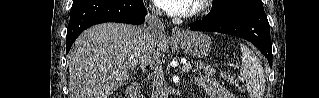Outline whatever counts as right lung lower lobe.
<instances>
[{
	"instance_id": "right-lung-lower-lobe-1",
	"label": "right lung lower lobe",
	"mask_w": 319,
	"mask_h": 98,
	"mask_svg": "<svg viewBox=\"0 0 319 98\" xmlns=\"http://www.w3.org/2000/svg\"><path fill=\"white\" fill-rule=\"evenodd\" d=\"M147 11L142 0H74L66 36V53L92 25L104 22L142 24Z\"/></svg>"
}]
</instances>
